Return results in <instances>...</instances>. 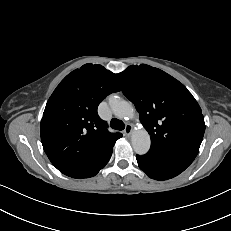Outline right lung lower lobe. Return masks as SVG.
Segmentation results:
<instances>
[{
    "instance_id": "right-lung-lower-lobe-1",
    "label": "right lung lower lobe",
    "mask_w": 231,
    "mask_h": 231,
    "mask_svg": "<svg viewBox=\"0 0 231 231\" xmlns=\"http://www.w3.org/2000/svg\"><path fill=\"white\" fill-rule=\"evenodd\" d=\"M113 148H111L108 152H106L102 157H100L97 161L87 166L86 168L70 175L73 178H88L95 176L100 169H102L109 161L112 155Z\"/></svg>"
}]
</instances>
